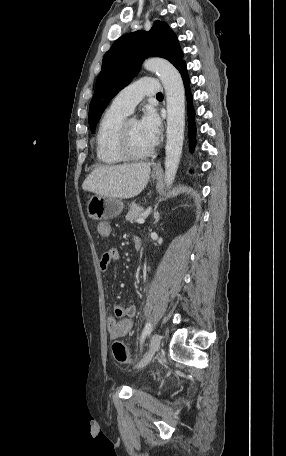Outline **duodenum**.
Here are the masks:
<instances>
[{"label": "duodenum", "mask_w": 286, "mask_h": 456, "mask_svg": "<svg viewBox=\"0 0 286 456\" xmlns=\"http://www.w3.org/2000/svg\"><path fill=\"white\" fill-rule=\"evenodd\" d=\"M133 244H134V248L136 250H140L141 249V246H142V240L139 236H135L133 238Z\"/></svg>", "instance_id": "1"}]
</instances>
